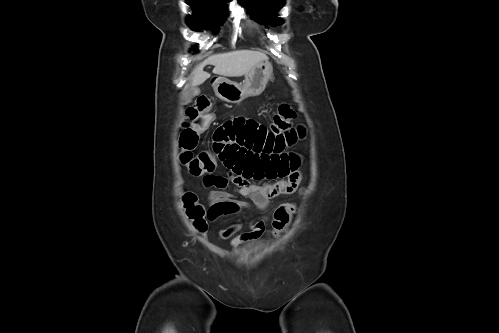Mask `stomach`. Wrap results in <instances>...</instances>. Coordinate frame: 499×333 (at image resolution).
Wrapping results in <instances>:
<instances>
[{"label":"stomach","mask_w":499,"mask_h":333,"mask_svg":"<svg viewBox=\"0 0 499 333\" xmlns=\"http://www.w3.org/2000/svg\"><path fill=\"white\" fill-rule=\"evenodd\" d=\"M272 72L271 63L262 61L245 75L243 83L218 78L213 84V89L216 96L221 100L238 104L248 97L260 95L264 91Z\"/></svg>","instance_id":"obj_1"}]
</instances>
